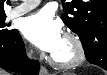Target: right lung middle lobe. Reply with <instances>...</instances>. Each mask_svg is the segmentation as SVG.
Here are the masks:
<instances>
[{
	"instance_id": "dd1d6c3e",
	"label": "right lung middle lobe",
	"mask_w": 107,
	"mask_h": 75,
	"mask_svg": "<svg viewBox=\"0 0 107 75\" xmlns=\"http://www.w3.org/2000/svg\"><path fill=\"white\" fill-rule=\"evenodd\" d=\"M6 15H0V40H5L10 38L15 32L16 29H7L9 25L5 24Z\"/></svg>"
}]
</instances>
